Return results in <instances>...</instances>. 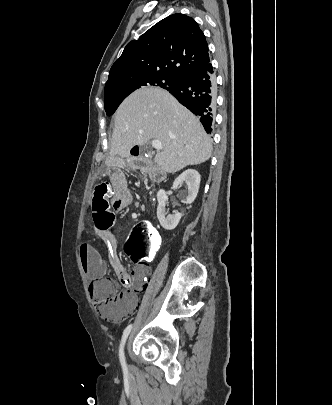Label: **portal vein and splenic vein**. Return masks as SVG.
I'll return each mask as SVG.
<instances>
[{
	"label": "portal vein and splenic vein",
	"instance_id": "18ae733b",
	"mask_svg": "<svg viewBox=\"0 0 332 405\" xmlns=\"http://www.w3.org/2000/svg\"><path fill=\"white\" fill-rule=\"evenodd\" d=\"M151 145H152V147L155 148L156 150H162V149H163L162 143H161V141H159V140H153V141L151 142Z\"/></svg>",
	"mask_w": 332,
	"mask_h": 405
}]
</instances>
